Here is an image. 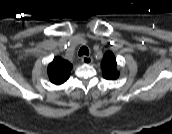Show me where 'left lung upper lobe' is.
Instances as JSON below:
<instances>
[{
	"label": "left lung upper lobe",
	"instance_id": "left-lung-upper-lobe-1",
	"mask_svg": "<svg viewBox=\"0 0 172 134\" xmlns=\"http://www.w3.org/2000/svg\"><path fill=\"white\" fill-rule=\"evenodd\" d=\"M103 77L106 79H117L119 72L117 71L116 58L112 52L108 51L105 53L102 63Z\"/></svg>",
	"mask_w": 172,
	"mask_h": 134
}]
</instances>
